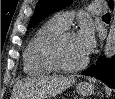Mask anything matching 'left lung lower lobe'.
Returning a JSON list of instances; mask_svg holds the SVG:
<instances>
[{
  "mask_svg": "<svg viewBox=\"0 0 115 99\" xmlns=\"http://www.w3.org/2000/svg\"><path fill=\"white\" fill-rule=\"evenodd\" d=\"M110 6L113 8V4ZM81 74L94 76L108 86L115 88V55L111 59L100 57L96 64H93Z\"/></svg>",
  "mask_w": 115,
  "mask_h": 99,
  "instance_id": "0a47b994",
  "label": "left lung lower lobe"
}]
</instances>
